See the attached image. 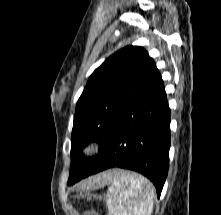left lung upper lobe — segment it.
I'll use <instances>...</instances> for the list:
<instances>
[{"mask_svg": "<svg viewBox=\"0 0 221 215\" xmlns=\"http://www.w3.org/2000/svg\"><path fill=\"white\" fill-rule=\"evenodd\" d=\"M154 66L144 48L128 46L107 58L90 76L76 105L69 180L82 179L95 163L117 116L144 86ZM93 140L100 143V152L86 158L82 150Z\"/></svg>", "mask_w": 221, "mask_h": 215, "instance_id": "5c2ea615", "label": "left lung upper lobe"}]
</instances>
